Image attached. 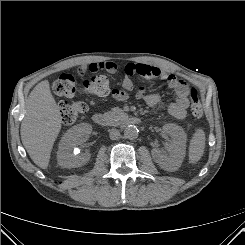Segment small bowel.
<instances>
[{
  "label": "small bowel",
  "instance_id": "1",
  "mask_svg": "<svg viewBox=\"0 0 245 245\" xmlns=\"http://www.w3.org/2000/svg\"><path fill=\"white\" fill-rule=\"evenodd\" d=\"M82 71L98 72L104 70L110 74H114L118 70L116 63L111 61L91 62L81 68ZM142 77L146 79L157 78L167 83L175 95L176 100L168 106V112L174 118L183 120L187 115L189 108V87L185 81L178 79L175 75L165 70L144 63H128L125 66V77L122 81L120 89L111 91V98L116 101H124L128 99L134 91V79ZM135 96L144 100L150 107H156L161 102V96L158 93H147L144 87H139L135 92Z\"/></svg>",
  "mask_w": 245,
  "mask_h": 245
}]
</instances>
